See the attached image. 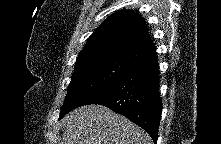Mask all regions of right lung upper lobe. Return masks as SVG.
Segmentation results:
<instances>
[{"label":"right lung upper lobe","mask_w":221,"mask_h":144,"mask_svg":"<svg viewBox=\"0 0 221 144\" xmlns=\"http://www.w3.org/2000/svg\"><path fill=\"white\" fill-rule=\"evenodd\" d=\"M155 50L143 18L131 10H123L112 14L96 29L77 60L108 51H122L145 57Z\"/></svg>","instance_id":"1"}]
</instances>
